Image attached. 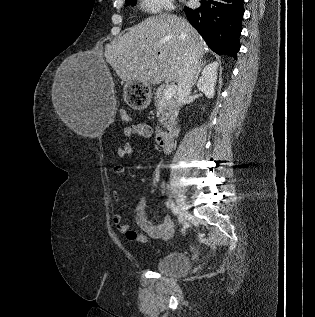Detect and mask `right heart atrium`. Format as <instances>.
Returning <instances> with one entry per match:
<instances>
[{"mask_svg":"<svg viewBox=\"0 0 315 317\" xmlns=\"http://www.w3.org/2000/svg\"><path fill=\"white\" fill-rule=\"evenodd\" d=\"M141 7L150 14H157L173 9V0H141Z\"/></svg>","mask_w":315,"mask_h":317,"instance_id":"d8ad5b80","label":"right heart atrium"}]
</instances>
